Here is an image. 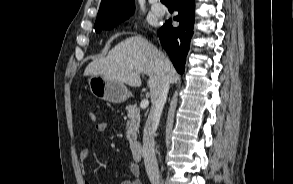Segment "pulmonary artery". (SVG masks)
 Listing matches in <instances>:
<instances>
[{
  "mask_svg": "<svg viewBox=\"0 0 293 184\" xmlns=\"http://www.w3.org/2000/svg\"><path fill=\"white\" fill-rule=\"evenodd\" d=\"M151 9L156 15H164L166 12V7L157 0H153Z\"/></svg>",
  "mask_w": 293,
  "mask_h": 184,
  "instance_id": "1",
  "label": "pulmonary artery"
}]
</instances>
